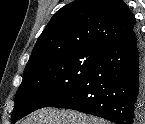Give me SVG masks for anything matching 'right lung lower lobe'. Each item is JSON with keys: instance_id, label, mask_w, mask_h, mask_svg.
<instances>
[{"instance_id": "right-lung-lower-lobe-1", "label": "right lung lower lobe", "mask_w": 145, "mask_h": 124, "mask_svg": "<svg viewBox=\"0 0 145 124\" xmlns=\"http://www.w3.org/2000/svg\"><path fill=\"white\" fill-rule=\"evenodd\" d=\"M138 32L106 47L84 78L45 107L77 110L133 124L145 106V62Z\"/></svg>"}]
</instances>
